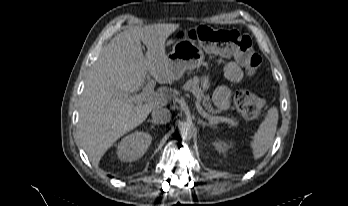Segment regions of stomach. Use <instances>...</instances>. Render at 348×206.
<instances>
[{
  "mask_svg": "<svg viewBox=\"0 0 348 206\" xmlns=\"http://www.w3.org/2000/svg\"><path fill=\"white\" fill-rule=\"evenodd\" d=\"M166 57L168 68L175 80L180 79L186 71L199 68L205 59L200 46L185 34L175 40L172 51Z\"/></svg>",
  "mask_w": 348,
  "mask_h": 206,
  "instance_id": "stomach-1",
  "label": "stomach"
}]
</instances>
